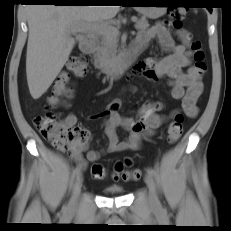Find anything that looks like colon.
<instances>
[{"label":"colon","instance_id":"colon-1","mask_svg":"<svg viewBox=\"0 0 231 231\" xmlns=\"http://www.w3.org/2000/svg\"><path fill=\"white\" fill-rule=\"evenodd\" d=\"M185 14L186 10L183 7L172 8L169 11V24L175 29H180ZM191 49L194 68L202 74L206 71L207 65L201 42L197 40L192 41ZM87 69L88 62L84 56H73L68 60L66 71L55 82L53 93L49 97L51 107L61 105L64 100L69 97L71 91L69 87L70 77L83 78L87 74ZM34 126L43 138L49 140L56 148L63 150L84 140L87 136V131L84 128L67 126L62 121H58L50 111L36 116ZM182 131L183 117L182 115H176L167 129L166 135L168 142H177L182 135ZM91 175L96 180H102L106 176V170L102 164L95 163L91 167ZM113 178L117 181L137 180L140 178V172L138 170L126 171L124 170V163L120 162L115 167Z\"/></svg>","mask_w":231,"mask_h":231}]
</instances>
